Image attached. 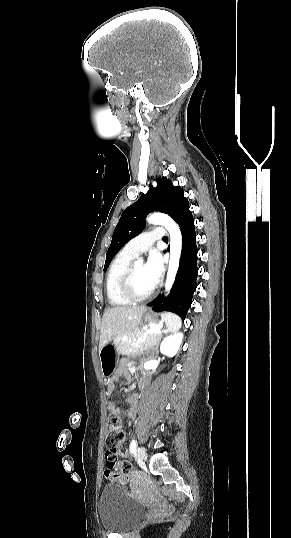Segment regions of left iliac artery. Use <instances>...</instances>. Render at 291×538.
<instances>
[{
  "mask_svg": "<svg viewBox=\"0 0 291 538\" xmlns=\"http://www.w3.org/2000/svg\"><path fill=\"white\" fill-rule=\"evenodd\" d=\"M130 453L131 454L136 453V441L134 439L130 443Z\"/></svg>",
  "mask_w": 291,
  "mask_h": 538,
  "instance_id": "left-iliac-artery-1",
  "label": "left iliac artery"
}]
</instances>
